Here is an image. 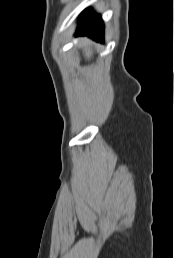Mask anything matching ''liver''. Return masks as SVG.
Here are the masks:
<instances>
[{"label": "liver", "mask_w": 174, "mask_h": 258, "mask_svg": "<svg viewBox=\"0 0 174 258\" xmlns=\"http://www.w3.org/2000/svg\"><path fill=\"white\" fill-rule=\"evenodd\" d=\"M85 55H86L87 58H90L91 55H92V53H91V51L88 49V50L85 51Z\"/></svg>", "instance_id": "1"}]
</instances>
